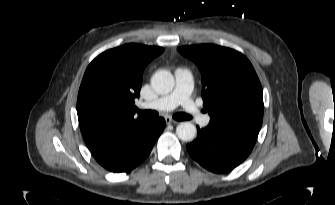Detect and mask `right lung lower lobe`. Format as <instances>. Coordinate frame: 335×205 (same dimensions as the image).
Returning a JSON list of instances; mask_svg holds the SVG:
<instances>
[{
	"instance_id": "right-lung-lower-lobe-1",
	"label": "right lung lower lobe",
	"mask_w": 335,
	"mask_h": 205,
	"mask_svg": "<svg viewBox=\"0 0 335 205\" xmlns=\"http://www.w3.org/2000/svg\"><path fill=\"white\" fill-rule=\"evenodd\" d=\"M165 126L163 118L154 119V124L131 143L108 151L93 152L94 158L112 172H127L134 169L149 155L154 143Z\"/></svg>"
}]
</instances>
